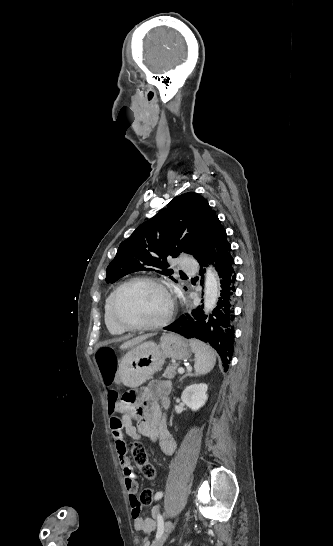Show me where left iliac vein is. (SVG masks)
<instances>
[{"label":"left iliac vein","mask_w":333,"mask_h":546,"mask_svg":"<svg viewBox=\"0 0 333 546\" xmlns=\"http://www.w3.org/2000/svg\"><path fill=\"white\" fill-rule=\"evenodd\" d=\"M177 519L171 523V524H166V527H165V530L164 532L162 533V535L156 539L152 546H163L164 542L166 541V539L168 538V536L170 535V533L174 530L176 524H177Z\"/></svg>","instance_id":"4c4485c4"}]
</instances>
